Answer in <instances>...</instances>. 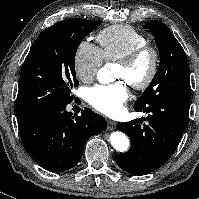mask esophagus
Segmentation results:
<instances>
[{"instance_id": "obj_1", "label": "esophagus", "mask_w": 199, "mask_h": 199, "mask_svg": "<svg viewBox=\"0 0 199 199\" xmlns=\"http://www.w3.org/2000/svg\"><path fill=\"white\" fill-rule=\"evenodd\" d=\"M115 127H116V122H114V121H112V120H108V121H107V128H108L109 130H113V129H115Z\"/></svg>"}]
</instances>
